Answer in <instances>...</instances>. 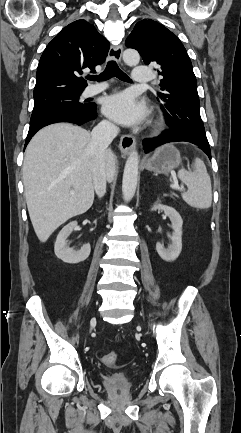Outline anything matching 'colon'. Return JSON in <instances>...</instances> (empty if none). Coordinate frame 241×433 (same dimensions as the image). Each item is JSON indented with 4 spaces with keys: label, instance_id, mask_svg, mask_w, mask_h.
<instances>
[{
    "label": "colon",
    "instance_id": "1",
    "mask_svg": "<svg viewBox=\"0 0 241 433\" xmlns=\"http://www.w3.org/2000/svg\"><path fill=\"white\" fill-rule=\"evenodd\" d=\"M116 358H117V353L111 351L103 356L102 361L105 365H112L115 363Z\"/></svg>",
    "mask_w": 241,
    "mask_h": 433
}]
</instances>
